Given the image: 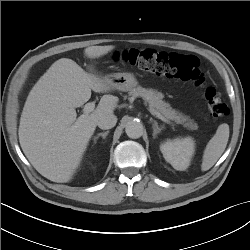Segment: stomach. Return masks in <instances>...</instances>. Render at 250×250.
<instances>
[{
  "label": "stomach",
  "mask_w": 250,
  "mask_h": 250,
  "mask_svg": "<svg viewBox=\"0 0 250 250\" xmlns=\"http://www.w3.org/2000/svg\"><path fill=\"white\" fill-rule=\"evenodd\" d=\"M112 88L119 91H131L136 88L138 81L132 73H115L104 77Z\"/></svg>",
  "instance_id": "stomach-1"
}]
</instances>
